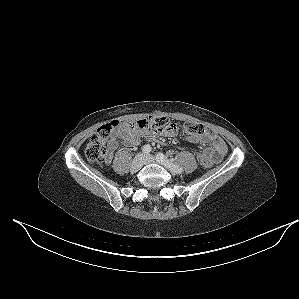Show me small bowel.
<instances>
[{"label": "small bowel", "mask_w": 299, "mask_h": 299, "mask_svg": "<svg viewBox=\"0 0 299 299\" xmlns=\"http://www.w3.org/2000/svg\"><path fill=\"white\" fill-rule=\"evenodd\" d=\"M167 136H173L176 133H162ZM118 136L121 138L123 144L127 147H135L140 144L141 137H147L153 139L154 135L148 131V129L131 128L126 125V122L122 123L119 127ZM188 141L191 143L210 144L202 152L198 153L197 159L201 162L203 159H209L213 163L220 162L227 152V146L224 140L216 133L209 131L205 128L199 133L191 134L188 136ZM117 145L116 139H112L110 142L109 154L105 160L106 163H110L112 160V151Z\"/></svg>", "instance_id": "c3829d8e"}]
</instances>
